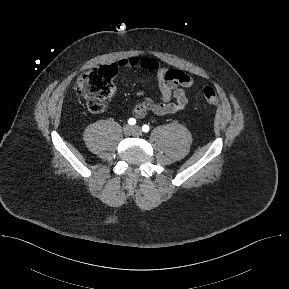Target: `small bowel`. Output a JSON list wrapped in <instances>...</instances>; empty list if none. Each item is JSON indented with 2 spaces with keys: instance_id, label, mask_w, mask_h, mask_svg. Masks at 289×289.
<instances>
[{
  "instance_id": "1",
  "label": "small bowel",
  "mask_w": 289,
  "mask_h": 289,
  "mask_svg": "<svg viewBox=\"0 0 289 289\" xmlns=\"http://www.w3.org/2000/svg\"><path fill=\"white\" fill-rule=\"evenodd\" d=\"M116 67L134 68L139 67L154 73L157 87L160 93L158 102L143 98L133 108L132 114L136 118H143L148 113L156 115L173 114L184 110L188 105V97L185 89L191 88L195 81L188 74L176 69H167L152 57L130 56L120 59ZM148 80L139 82V95H144V87Z\"/></svg>"
}]
</instances>
